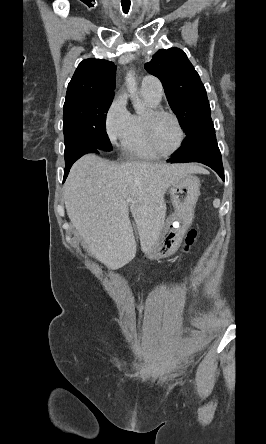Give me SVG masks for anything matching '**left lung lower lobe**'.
Masks as SVG:
<instances>
[{"label":"left lung lower lobe","mask_w":266,"mask_h":444,"mask_svg":"<svg viewBox=\"0 0 266 444\" xmlns=\"http://www.w3.org/2000/svg\"><path fill=\"white\" fill-rule=\"evenodd\" d=\"M167 161L170 163L200 162L211 167L224 180L222 158L213 122L209 121L192 131L182 143L181 148Z\"/></svg>","instance_id":"0a47b994"}]
</instances>
